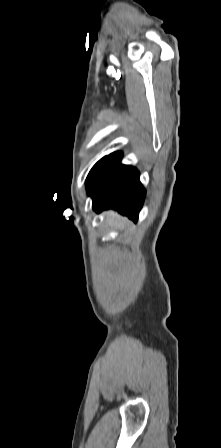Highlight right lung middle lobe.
Returning a JSON list of instances; mask_svg holds the SVG:
<instances>
[{"label": "right lung middle lobe", "instance_id": "obj_1", "mask_svg": "<svg viewBox=\"0 0 221 448\" xmlns=\"http://www.w3.org/2000/svg\"><path fill=\"white\" fill-rule=\"evenodd\" d=\"M104 159H105V157L102 158L100 161H98V162L94 165V167L91 169L90 173H89L88 176H87L86 182L90 179V177L92 176V174L94 173V171L98 168V166L102 163V161H103Z\"/></svg>", "mask_w": 221, "mask_h": 448}]
</instances>
